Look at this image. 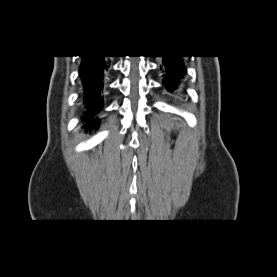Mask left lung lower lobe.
<instances>
[{
    "instance_id": "obj_1",
    "label": "left lung lower lobe",
    "mask_w": 277,
    "mask_h": 277,
    "mask_svg": "<svg viewBox=\"0 0 277 277\" xmlns=\"http://www.w3.org/2000/svg\"><path fill=\"white\" fill-rule=\"evenodd\" d=\"M182 57L183 56H164L163 69L166 75L163 83L168 89H174L185 72Z\"/></svg>"
}]
</instances>
